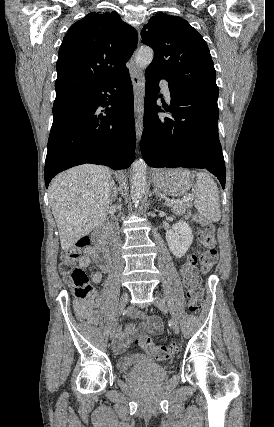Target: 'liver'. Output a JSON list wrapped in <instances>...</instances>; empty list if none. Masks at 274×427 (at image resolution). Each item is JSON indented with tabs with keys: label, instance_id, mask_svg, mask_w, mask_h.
I'll use <instances>...</instances> for the list:
<instances>
[{
	"label": "liver",
	"instance_id": "1",
	"mask_svg": "<svg viewBox=\"0 0 274 427\" xmlns=\"http://www.w3.org/2000/svg\"><path fill=\"white\" fill-rule=\"evenodd\" d=\"M112 182L109 168L93 164L66 170L50 182L49 202L64 251L107 217Z\"/></svg>",
	"mask_w": 274,
	"mask_h": 427
}]
</instances>
